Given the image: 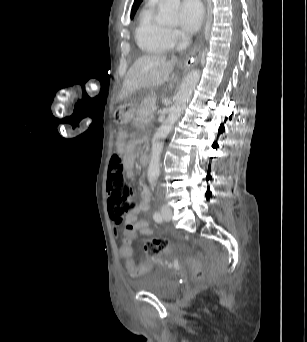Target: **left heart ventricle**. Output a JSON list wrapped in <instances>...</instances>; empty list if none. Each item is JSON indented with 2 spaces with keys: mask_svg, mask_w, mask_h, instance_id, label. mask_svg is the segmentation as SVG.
Instances as JSON below:
<instances>
[{
  "mask_svg": "<svg viewBox=\"0 0 307 342\" xmlns=\"http://www.w3.org/2000/svg\"><path fill=\"white\" fill-rule=\"evenodd\" d=\"M171 31H172V28H167V29L165 30L166 33H170Z\"/></svg>",
  "mask_w": 307,
  "mask_h": 342,
  "instance_id": "left-heart-ventricle-1",
  "label": "left heart ventricle"
}]
</instances>
